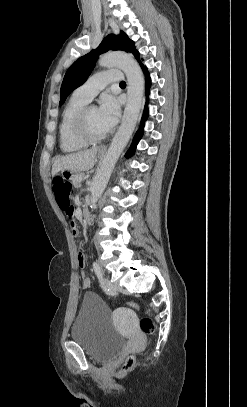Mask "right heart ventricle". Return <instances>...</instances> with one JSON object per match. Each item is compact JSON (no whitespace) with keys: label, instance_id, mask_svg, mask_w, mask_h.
<instances>
[{"label":"right heart ventricle","instance_id":"1","mask_svg":"<svg viewBox=\"0 0 247 407\" xmlns=\"http://www.w3.org/2000/svg\"><path fill=\"white\" fill-rule=\"evenodd\" d=\"M86 105L87 102L72 96L63 108L58 133L60 148L65 153L80 151L88 145L80 140L74 132V120L76 115Z\"/></svg>","mask_w":247,"mask_h":407}]
</instances>
